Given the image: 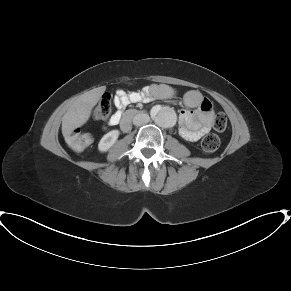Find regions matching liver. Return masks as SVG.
Wrapping results in <instances>:
<instances>
[{
  "label": "liver",
  "instance_id": "6515ba94",
  "mask_svg": "<svg viewBox=\"0 0 291 291\" xmlns=\"http://www.w3.org/2000/svg\"><path fill=\"white\" fill-rule=\"evenodd\" d=\"M106 87L101 86L79 96L62 117V133L70 136L78 127L84 125L90 118L93 107L97 104Z\"/></svg>",
  "mask_w": 291,
  "mask_h": 291
}]
</instances>
